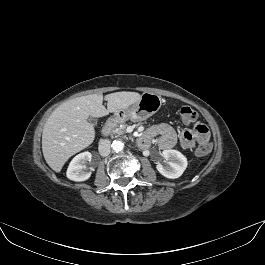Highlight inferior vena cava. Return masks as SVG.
<instances>
[{
  "label": "inferior vena cava",
  "instance_id": "inferior-vena-cava-1",
  "mask_svg": "<svg viewBox=\"0 0 265 265\" xmlns=\"http://www.w3.org/2000/svg\"><path fill=\"white\" fill-rule=\"evenodd\" d=\"M110 145L111 141L110 140H101L98 146V150L101 156H107L110 153Z\"/></svg>",
  "mask_w": 265,
  "mask_h": 265
}]
</instances>
